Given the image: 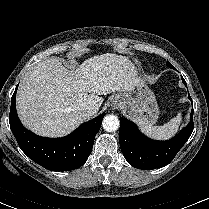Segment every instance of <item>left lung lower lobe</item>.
<instances>
[{"label": "left lung lower lobe", "instance_id": "1", "mask_svg": "<svg viewBox=\"0 0 209 209\" xmlns=\"http://www.w3.org/2000/svg\"><path fill=\"white\" fill-rule=\"evenodd\" d=\"M182 77V76H181ZM184 85L186 81L182 77ZM188 98L192 101L190 95ZM193 131V109L189 124L170 140L156 141L142 135L137 126L120 118L119 140L121 151L127 162L138 169H155L169 164Z\"/></svg>", "mask_w": 209, "mask_h": 209}]
</instances>
